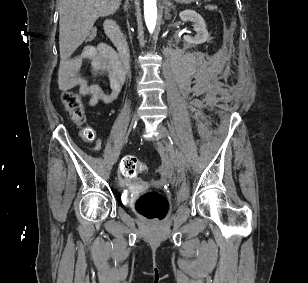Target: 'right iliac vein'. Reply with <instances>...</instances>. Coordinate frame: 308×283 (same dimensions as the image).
Here are the masks:
<instances>
[{
  "mask_svg": "<svg viewBox=\"0 0 308 283\" xmlns=\"http://www.w3.org/2000/svg\"><path fill=\"white\" fill-rule=\"evenodd\" d=\"M136 122H137V115H136V113L133 115V117H132V120H131V125H130V129L136 124ZM122 145V144H121ZM118 156H119V152L117 153V157H116V159L118 158Z\"/></svg>",
  "mask_w": 308,
  "mask_h": 283,
  "instance_id": "right-iliac-vein-1",
  "label": "right iliac vein"
}]
</instances>
